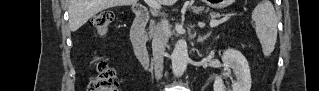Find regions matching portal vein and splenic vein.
Wrapping results in <instances>:
<instances>
[{"label": "portal vein and splenic vein", "mask_w": 319, "mask_h": 91, "mask_svg": "<svg viewBox=\"0 0 319 91\" xmlns=\"http://www.w3.org/2000/svg\"><path fill=\"white\" fill-rule=\"evenodd\" d=\"M148 5L150 8H152L153 10H158L160 9V5L157 3V1L155 0H148ZM222 21L221 20H212L210 22V27H216L218 26Z\"/></svg>", "instance_id": "portal-vein-and-splenic-vein-1"}]
</instances>
